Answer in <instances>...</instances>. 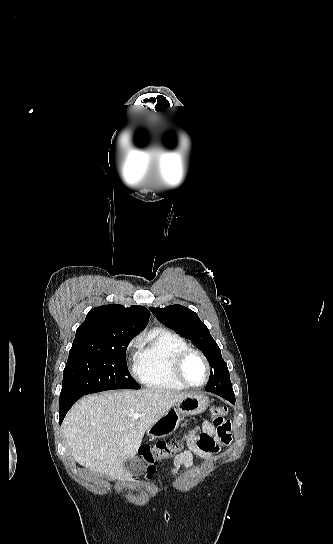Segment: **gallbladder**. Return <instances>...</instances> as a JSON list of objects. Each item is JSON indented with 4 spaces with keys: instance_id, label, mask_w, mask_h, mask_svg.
<instances>
[{
    "instance_id": "obj_1",
    "label": "gallbladder",
    "mask_w": 333,
    "mask_h": 544,
    "mask_svg": "<svg viewBox=\"0 0 333 544\" xmlns=\"http://www.w3.org/2000/svg\"><path fill=\"white\" fill-rule=\"evenodd\" d=\"M123 464L133 476H140L145 471V465L133 457L126 459Z\"/></svg>"
}]
</instances>
